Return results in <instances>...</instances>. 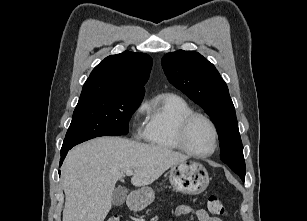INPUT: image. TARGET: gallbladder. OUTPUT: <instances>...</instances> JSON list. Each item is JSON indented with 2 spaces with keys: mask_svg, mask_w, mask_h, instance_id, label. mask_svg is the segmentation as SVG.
Wrapping results in <instances>:
<instances>
[{
  "mask_svg": "<svg viewBox=\"0 0 307 221\" xmlns=\"http://www.w3.org/2000/svg\"><path fill=\"white\" fill-rule=\"evenodd\" d=\"M127 197V189L124 187H118L113 191L112 202L116 206L122 205Z\"/></svg>",
  "mask_w": 307,
  "mask_h": 221,
  "instance_id": "gallbladder-1",
  "label": "gallbladder"
}]
</instances>
